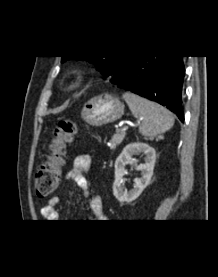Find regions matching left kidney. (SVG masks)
I'll return each instance as SVG.
<instances>
[{
    "label": "left kidney",
    "instance_id": "obj_1",
    "mask_svg": "<svg viewBox=\"0 0 218 277\" xmlns=\"http://www.w3.org/2000/svg\"><path fill=\"white\" fill-rule=\"evenodd\" d=\"M145 155V163L136 166L141 171V177L134 180V188L129 192L124 187L125 165L130 163L136 165V159L133 155ZM156 161V151L145 143L128 144L115 161V180L113 183V194L119 202H132L140 196L143 190L150 183L153 175L154 165Z\"/></svg>",
    "mask_w": 218,
    "mask_h": 277
}]
</instances>
